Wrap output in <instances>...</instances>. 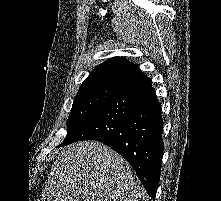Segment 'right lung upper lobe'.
<instances>
[{"label":"right lung upper lobe","instance_id":"obj_1","mask_svg":"<svg viewBox=\"0 0 221 201\" xmlns=\"http://www.w3.org/2000/svg\"><path fill=\"white\" fill-rule=\"evenodd\" d=\"M142 75L135 64L122 57H114L98 65L82 83L80 89L91 87L121 89Z\"/></svg>","mask_w":221,"mask_h":201}]
</instances>
